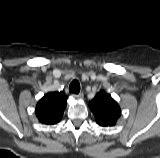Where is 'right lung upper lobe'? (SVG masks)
Masks as SVG:
<instances>
[{"instance_id": "obj_1", "label": "right lung upper lobe", "mask_w": 160, "mask_h": 158, "mask_svg": "<svg viewBox=\"0 0 160 158\" xmlns=\"http://www.w3.org/2000/svg\"><path fill=\"white\" fill-rule=\"evenodd\" d=\"M66 104L67 96L64 92H50L37 103L36 116L43 124H56L61 120Z\"/></svg>"}]
</instances>
